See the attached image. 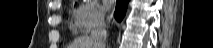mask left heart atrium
I'll use <instances>...</instances> for the list:
<instances>
[{"label": "left heart atrium", "mask_w": 213, "mask_h": 48, "mask_svg": "<svg viewBox=\"0 0 213 48\" xmlns=\"http://www.w3.org/2000/svg\"><path fill=\"white\" fill-rule=\"evenodd\" d=\"M112 5H113V1L104 0L103 3H102V8H103V10H108L112 7Z\"/></svg>", "instance_id": "1"}]
</instances>
